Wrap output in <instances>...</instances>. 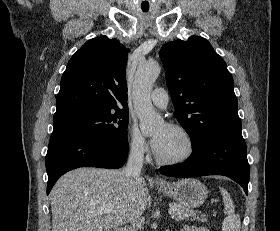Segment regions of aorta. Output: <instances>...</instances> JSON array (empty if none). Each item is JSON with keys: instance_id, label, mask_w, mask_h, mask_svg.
<instances>
[{"instance_id": "762f6f07", "label": "aorta", "mask_w": 280, "mask_h": 231, "mask_svg": "<svg viewBox=\"0 0 280 231\" xmlns=\"http://www.w3.org/2000/svg\"><path fill=\"white\" fill-rule=\"evenodd\" d=\"M161 68L158 62H147L138 66L134 82L133 104L134 110L140 119V129L143 135L157 131L163 117L159 116L150 100L153 84L156 82Z\"/></svg>"}]
</instances>
